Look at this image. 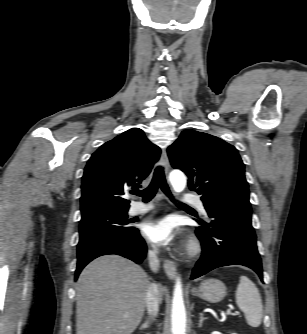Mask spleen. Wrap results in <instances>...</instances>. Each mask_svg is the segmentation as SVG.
<instances>
[{"instance_id":"1","label":"spleen","mask_w":307,"mask_h":334,"mask_svg":"<svg viewBox=\"0 0 307 334\" xmlns=\"http://www.w3.org/2000/svg\"><path fill=\"white\" fill-rule=\"evenodd\" d=\"M236 303L244 312L248 325L259 327L263 316L261 296L255 284L243 275L237 286Z\"/></svg>"}]
</instances>
